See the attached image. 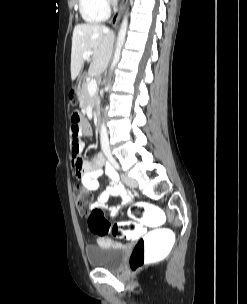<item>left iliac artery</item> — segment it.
<instances>
[{
	"instance_id": "left-iliac-artery-1",
	"label": "left iliac artery",
	"mask_w": 247,
	"mask_h": 304,
	"mask_svg": "<svg viewBox=\"0 0 247 304\" xmlns=\"http://www.w3.org/2000/svg\"><path fill=\"white\" fill-rule=\"evenodd\" d=\"M108 160L110 161V163H111L117 170L120 169L118 163L116 162V160H115L112 156H110V157L108 158Z\"/></svg>"
}]
</instances>
